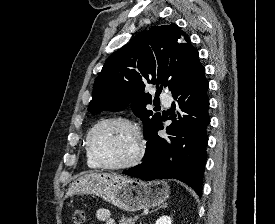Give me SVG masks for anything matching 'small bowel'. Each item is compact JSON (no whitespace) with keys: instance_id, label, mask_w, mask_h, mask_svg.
<instances>
[{"instance_id":"small-bowel-1","label":"small bowel","mask_w":275,"mask_h":224,"mask_svg":"<svg viewBox=\"0 0 275 224\" xmlns=\"http://www.w3.org/2000/svg\"><path fill=\"white\" fill-rule=\"evenodd\" d=\"M95 216L96 219L103 224H117L116 221L110 217L109 211L107 209H98Z\"/></svg>"}]
</instances>
